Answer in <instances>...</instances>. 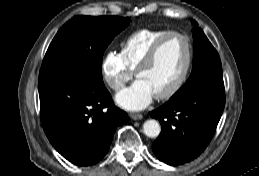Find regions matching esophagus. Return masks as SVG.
Here are the masks:
<instances>
[{
  "mask_svg": "<svg viewBox=\"0 0 259 176\" xmlns=\"http://www.w3.org/2000/svg\"><path fill=\"white\" fill-rule=\"evenodd\" d=\"M130 117L133 119V120H140L143 118L142 114H139V113H130Z\"/></svg>",
  "mask_w": 259,
  "mask_h": 176,
  "instance_id": "34e87169",
  "label": "esophagus"
}]
</instances>
